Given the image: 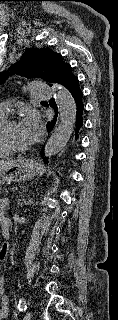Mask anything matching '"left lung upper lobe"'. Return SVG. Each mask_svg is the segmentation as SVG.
Segmentation results:
<instances>
[{"label": "left lung upper lobe", "instance_id": "5c2ea615", "mask_svg": "<svg viewBox=\"0 0 118 320\" xmlns=\"http://www.w3.org/2000/svg\"><path fill=\"white\" fill-rule=\"evenodd\" d=\"M71 66L65 63L61 54L50 48H28L21 59L10 70L27 78L42 77L50 82H58L65 77ZM7 72L0 73V84L8 77Z\"/></svg>", "mask_w": 118, "mask_h": 320}]
</instances>
